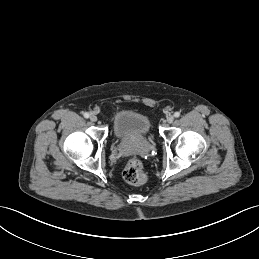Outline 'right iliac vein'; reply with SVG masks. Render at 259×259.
<instances>
[{"label": "right iliac vein", "mask_w": 259, "mask_h": 259, "mask_svg": "<svg viewBox=\"0 0 259 259\" xmlns=\"http://www.w3.org/2000/svg\"><path fill=\"white\" fill-rule=\"evenodd\" d=\"M90 120H91L92 122H96V121H97V116H96L95 114H91V115H90Z\"/></svg>", "instance_id": "63e3f726"}]
</instances>
